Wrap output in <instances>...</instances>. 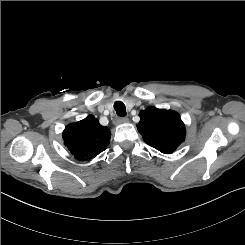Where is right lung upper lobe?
<instances>
[{"label": "right lung upper lobe", "instance_id": "right-lung-upper-lobe-1", "mask_svg": "<svg viewBox=\"0 0 245 245\" xmlns=\"http://www.w3.org/2000/svg\"><path fill=\"white\" fill-rule=\"evenodd\" d=\"M111 132L89 115L69 124L63 131L64 144L77 160H90L104 151L110 143Z\"/></svg>", "mask_w": 245, "mask_h": 245}]
</instances>
